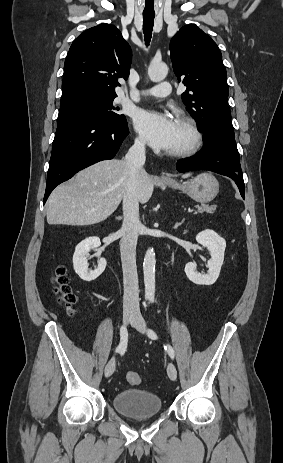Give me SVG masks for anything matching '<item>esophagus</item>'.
<instances>
[{"instance_id":"1","label":"esophagus","mask_w":283,"mask_h":463,"mask_svg":"<svg viewBox=\"0 0 283 463\" xmlns=\"http://www.w3.org/2000/svg\"><path fill=\"white\" fill-rule=\"evenodd\" d=\"M160 179L163 180V181H169L170 177L162 174V175H160Z\"/></svg>"}]
</instances>
